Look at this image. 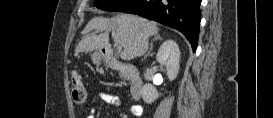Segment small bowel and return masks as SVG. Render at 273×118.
<instances>
[{
    "mask_svg": "<svg viewBox=\"0 0 273 118\" xmlns=\"http://www.w3.org/2000/svg\"><path fill=\"white\" fill-rule=\"evenodd\" d=\"M122 104V100L120 97L108 93V92H98L95 94L91 100L89 101L87 107H86V114L88 118H93V115L96 111V109L100 105H111V106H120ZM130 113L134 116H140L142 114V108L140 106H131L130 107Z\"/></svg>",
    "mask_w": 273,
    "mask_h": 118,
    "instance_id": "c3829d8e",
    "label": "small bowel"
}]
</instances>
